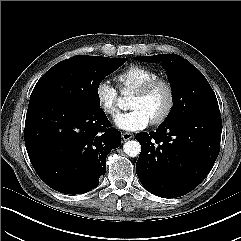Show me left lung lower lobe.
<instances>
[{"instance_id": "1", "label": "left lung lower lobe", "mask_w": 241, "mask_h": 241, "mask_svg": "<svg viewBox=\"0 0 241 241\" xmlns=\"http://www.w3.org/2000/svg\"><path fill=\"white\" fill-rule=\"evenodd\" d=\"M135 138L141 145L136 171L142 185L159 197H180L212 169L220 150L221 116L186 115Z\"/></svg>"}]
</instances>
